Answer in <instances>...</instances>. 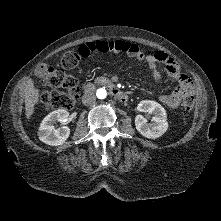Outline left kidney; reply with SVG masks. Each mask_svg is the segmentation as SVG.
I'll use <instances>...</instances> for the list:
<instances>
[{"label": "left kidney", "instance_id": "5707ae66", "mask_svg": "<svg viewBox=\"0 0 221 221\" xmlns=\"http://www.w3.org/2000/svg\"><path fill=\"white\" fill-rule=\"evenodd\" d=\"M137 110L140 112H148L154 115L151 123H147L146 118L142 115L135 117V126L138 132L149 139H156L162 136L168 129L167 114L165 109L157 102L144 100L141 101Z\"/></svg>", "mask_w": 221, "mask_h": 221}]
</instances>
